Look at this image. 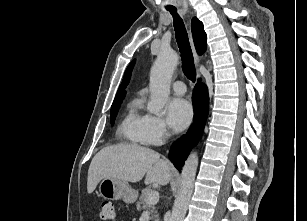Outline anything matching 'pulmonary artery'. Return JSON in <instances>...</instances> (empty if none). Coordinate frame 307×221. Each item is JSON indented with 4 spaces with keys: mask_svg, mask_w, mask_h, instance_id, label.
Returning <instances> with one entry per match:
<instances>
[{
    "mask_svg": "<svg viewBox=\"0 0 307 221\" xmlns=\"http://www.w3.org/2000/svg\"><path fill=\"white\" fill-rule=\"evenodd\" d=\"M172 89L177 95H183L186 92V86L181 81H176L172 84Z\"/></svg>",
    "mask_w": 307,
    "mask_h": 221,
    "instance_id": "pulmonary-artery-1",
    "label": "pulmonary artery"
}]
</instances>
